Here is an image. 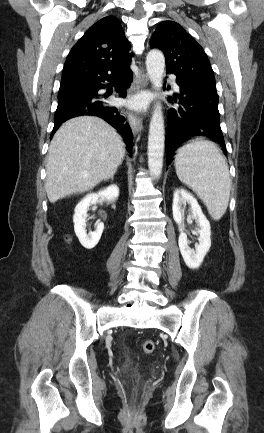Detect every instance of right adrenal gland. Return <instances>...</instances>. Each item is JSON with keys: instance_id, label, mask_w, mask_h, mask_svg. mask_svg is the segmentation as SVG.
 <instances>
[{"instance_id": "1", "label": "right adrenal gland", "mask_w": 264, "mask_h": 433, "mask_svg": "<svg viewBox=\"0 0 264 433\" xmlns=\"http://www.w3.org/2000/svg\"><path fill=\"white\" fill-rule=\"evenodd\" d=\"M108 179L114 180V174L112 176H110L109 178L105 179V181H107Z\"/></svg>"}]
</instances>
